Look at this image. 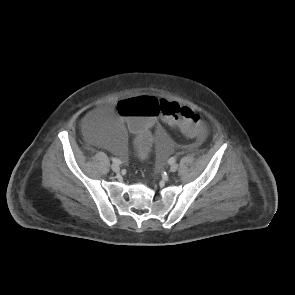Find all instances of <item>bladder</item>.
<instances>
[{"label": "bladder", "instance_id": "obj_1", "mask_svg": "<svg viewBox=\"0 0 295 295\" xmlns=\"http://www.w3.org/2000/svg\"><path fill=\"white\" fill-rule=\"evenodd\" d=\"M152 131L157 139L153 167L160 173L165 170L167 157L175 147L162 125H155ZM81 134L87 141L102 145L113 155H122L129 148L128 137L117 128V118L110 111L90 114L81 125Z\"/></svg>", "mask_w": 295, "mask_h": 295}]
</instances>
